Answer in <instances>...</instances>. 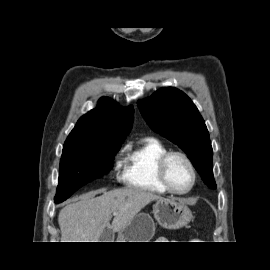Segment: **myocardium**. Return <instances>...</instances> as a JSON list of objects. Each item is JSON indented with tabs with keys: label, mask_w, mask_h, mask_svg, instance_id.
Returning a JSON list of instances; mask_svg holds the SVG:
<instances>
[{
	"label": "myocardium",
	"mask_w": 270,
	"mask_h": 270,
	"mask_svg": "<svg viewBox=\"0 0 270 270\" xmlns=\"http://www.w3.org/2000/svg\"><path fill=\"white\" fill-rule=\"evenodd\" d=\"M173 157L182 158L190 168V171L192 174V181H191L190 186L185 190H178L174 188L169 180L168 164H169V161ZM157 172H158L159 180L162 183V185L167 189L168 192L176 194V195H185L189 193L194 188L197 181V171H196L195 165L190 159V157L182 151H168L167 153H165L158 162Z\"/></svg>",
	"instance_id": "f54148a6"
}]
</instances>
